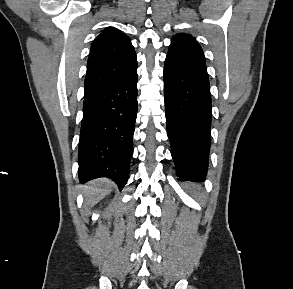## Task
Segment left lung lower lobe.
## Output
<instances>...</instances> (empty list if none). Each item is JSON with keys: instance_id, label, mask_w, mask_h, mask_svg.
<instances>
[{"instance_id": "obj_1", "label": "left lung lower lobe", "mask_w": 293, "mask_h": 289, "mask_svg": "<svg viewBox=\"0 0 293 289\" xmlns=\"http://www.w3.org/2000/svg\"><path fill=\"white\" fill-rule=\"evenodd\" d=\"M164 94L177 175L182 181L202 182L208 168L212 116L206 64L167 55Z\"/></svg>"}]
</instances>
